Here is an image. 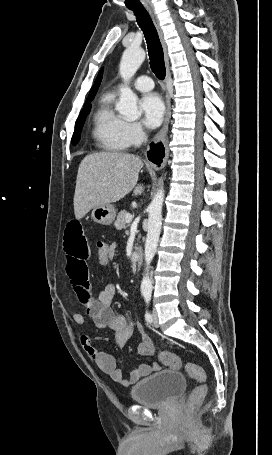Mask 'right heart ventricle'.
Returning a JSON list of instances; mask_svg holds the SVG:
<instances>
[{
	"instance_id": "obj_1",
	"label": "right heart ventricle",
	"mask_w": 272,
	"mask_h": 455,
	"mask_svg": "<svg viewBox=\"0 0 272 455\" xmlns=\"http://www.w3.org/2000/svg\"><path fill=\"white\" fill-rule=\"evenodd\" d=\"M113 99L112 92L100 97L92 116V137L99 149L122 152L129 147L124 132L126 121L114 111Z\"/></svg>"
}]
</instances>
